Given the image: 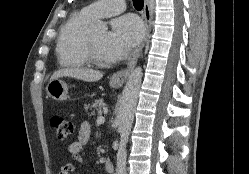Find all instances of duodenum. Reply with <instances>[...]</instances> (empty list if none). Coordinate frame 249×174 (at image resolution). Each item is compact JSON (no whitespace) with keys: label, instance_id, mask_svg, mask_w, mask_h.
<instances>
[{"label":"duodenum","instance_id":"1","mask_svg":"<svg viewBox=\"0 0 249 174\" xmlns=\"http://www.w3.org/2000/svg\"><path fill=\"white\" fill-rule=\"evenodd\" d=\"M104 165H105L106 171H107L109 174H114V172H115V167H114L113 163H112L109 159H106V160H105Z\"/></svg>","mask_w":249,"mask_h":174}]
</instances>
